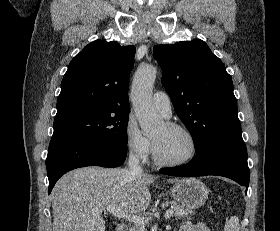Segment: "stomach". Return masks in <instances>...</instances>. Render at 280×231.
Here are the masks:
<instances>
[{
	"label": "stomach",
	"instance_id": "stomach-1",
	"mask_svg": "<svg viewBox=\"0 0 280 231\" xmlns=\"http://www.w3.org/2000/svg\"><path fill=\"white\" fill-rule=\"evenodd\" d=\"M171 193L175 201H179L188 209H198L208 199L209 189L200 179L183 177L175 181Z\"/></svg>",
	"mask_w": 280,
	"mask_h": 231
}]
</instances>
